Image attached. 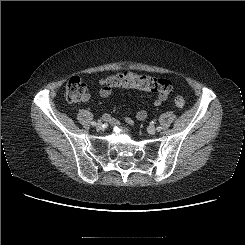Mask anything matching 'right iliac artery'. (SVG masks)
Masks as SVG:
<instances>
[{"label":"right iliac artery","mask_w":245,"mask_h":245,"mask_svg":"<svg viewBox=\"0 0 245 245\" xmlns=\"http://www.w3.org/2000/svg\"><path fill=\"white\" fill-rule=\"evenodd\" d=\"M98 122H100V121H98ZM92 125H96V122L93 121V122H92Z\"/></svg>","instance_id":"obj_1"}]
</instances>
